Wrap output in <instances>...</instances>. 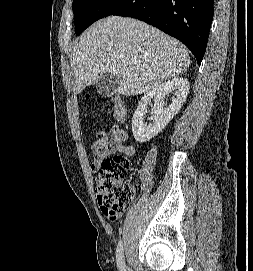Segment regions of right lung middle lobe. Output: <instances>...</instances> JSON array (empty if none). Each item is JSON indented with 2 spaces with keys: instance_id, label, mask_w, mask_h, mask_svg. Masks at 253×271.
Returning <instances> with one entry per match:
<instances>
[{
  "instance_id": "dd1d6c3e",
  "label": "right lung middle lobe",
  "mask_w": 253,
  "mask_h": 271,
  "mask_svg": "<svg viewBox=\"0 0 253 271\" xmlns=\"http://www.w3.org/2000/svg\"><path fill=\"white\" fill-rule=\"evenodd\" d=\"M127 0H73L76 35L93 22L114 14Z\"/></svg>"
}]
</instances>
